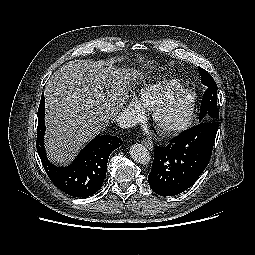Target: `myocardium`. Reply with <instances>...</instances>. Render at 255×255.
<instances>
[{
    "label": "myocardium",
    "instance_id": "f54148a6",
    "mask_svg": "<svg viewBox=\"0 0 255 255\" xmlns=\"http://www.w3.org/2000/svg\"><path fill=\"white\" fill-rule=\"evenodd\" d=\"M178 102H186L188 105L187 112L185 116L176 123L164 125L161 120L163 115L176 103ZM197 104V95L194 91L190 89H182L173 96L169 97L165 101L158 104L153 109V122L156 129L165 136H171L178 134L189 127L191 124Z\"/></svg>",
    "mask_w": 255,
    "mask_h": 255
}]
</instances>
